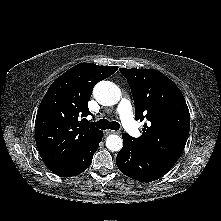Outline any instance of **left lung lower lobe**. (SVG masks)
I'll use <instances>...</instances> for the list:
<instances>
[{
  "label": "left lung lower lobe",
  "instance_id": "0a47b994",
  "mask_svg": "<svg viewBox=\"0 0 221 221\" xmlns=\"http://www.w3.org/2000/svg\"><path fill=\"white\" fill-rule=\"evenodd\" d=\"M122 138L124 145L118 152L116 163L119 170L128 177L151 182L174 166L137 147L128 134H122Z\"/></svg>",
  "mask_w": 221,
  "mask_h": 221
}]
</instances>
